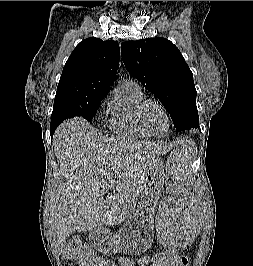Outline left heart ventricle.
I'll return each mask as SVG.
<instances>
[{
  "instance_id": "b2bd125f",
  "label": "left heart ventricle",
  "mask_w": 253,
  "mask_h": 266,
  "mask_svg": "<svg viewBox=\"0 0 253 266\" xmlns=\"http://www.w3.org/2000/svg\"><path fill=\"white\" fill-rule=\"evenodd\" d=\"M143 122L154 134L162 135L167 129L165 114L156 104H148L143 111Z\"/></svg>"
}]
</instances>
